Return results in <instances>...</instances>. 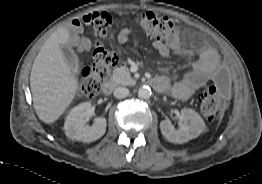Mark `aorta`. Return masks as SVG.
I'll return each instance as SVG.
<instances>
[{
  "instance_id": "obj_1",
  "label": "aorta",
  "mask_w": 262,
  "mask_h": 184,
  "mask_svg": "<svg viewBox=\"0 0 262 184\" xmlns=\"http://www.w3.org/2000/svg\"><path fill=\"white\" fill-rule=\"evenodd\" d=\"M151 94V89L148 86L140 87L138 90V96L142 99L150 98Z\"/></svg>"
}]
</instances>
